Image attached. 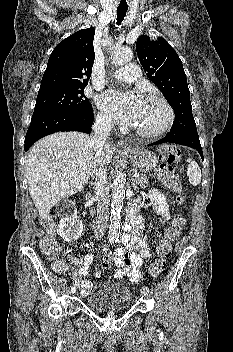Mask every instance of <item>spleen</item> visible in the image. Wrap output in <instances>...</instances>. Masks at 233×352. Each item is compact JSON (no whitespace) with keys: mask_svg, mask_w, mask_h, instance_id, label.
I'll return each mask as SVG.
<instances>
[{"mask_svg":"<svg viewBox=\"0 0 233 352\" xmlns=\"http://www.w3.org/2000/svg\"><path fill=\"white\" fill-rule=\"evenodd\" d=\"M189 163L187 168V176L189 178L190 184L197 186L201 182V169L195 161H192L191 158L187 159Z\"/></svg>","mask_w":233,"mask_h":352,"instance_id":"spleen-1","label":"spleen"}]
</instances>
